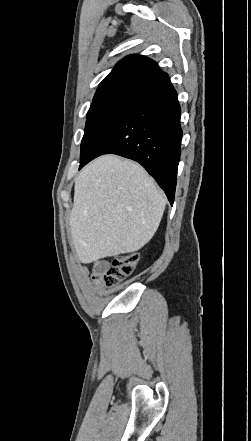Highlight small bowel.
Segmentation results:
<instances>
[{"label": "small bowel", "mask_w": 251, "mask_h": 441, "mask_svg": "<svg viewBox=\"0 0 251 441\" xmlns=\"http://www.w3.org/2000/svg\"><path fill=\"white\" fill-rule=\"evenodd\" d=\"M109 266L108 261L101 259L93 262L92 264V273H90V270L87 265L82 264L79 267V274L82 277L83 280L87 281L90 278L93 281L94 288L97 291H103L105 289V285L102 281V276L107 267Z\"/></svg>", "instance_id": "obj_1"}]
</instances>
